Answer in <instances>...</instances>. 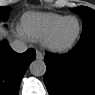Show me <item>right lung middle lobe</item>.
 Masks as SVG:
<instances>
[{"instance_id": "right-lung-middle-lobe-1", "label": "right lung middle lobe", "mask_w": 95, "mask_h": 95, "mask_svg": "<svg viewBox=\"0 0 95 95\" xmlns=\"http://www.w3.org/2000/svg\"><path fill=\"white\" fill-rule=\"evenodd\" d=\"M10 10L9 7H0V14L4 15L6 12Z\"/></svg>"}]
</instances>
